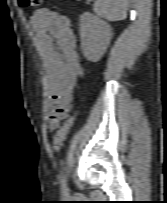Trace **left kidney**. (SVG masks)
Masks as SVG:
<instances>
[{"mask_svg": "<svg viewBox=\"0 0 167 203\" xmlns=\"http://www.w3.org/2000/svg\"><path fill=\"white\" fill-rule=\"evenodd\" d=\"M81 48L85 58L97 62L105 53L112 37L111 26L91 14L84 13L80 19Z\"/></svg>", "mask_w": 167, "mask_h": 203, "instance_id": "5707ae66", "label": "left kidney"}]
</instances>
